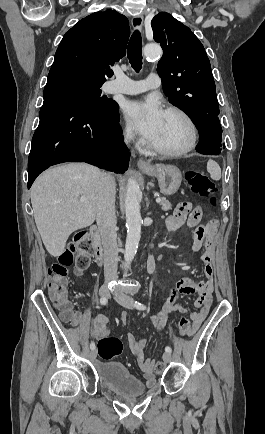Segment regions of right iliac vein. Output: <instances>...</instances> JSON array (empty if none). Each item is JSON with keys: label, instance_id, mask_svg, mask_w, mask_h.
<instances>
[{"label": "right iliac vein", "instance_id": "1", "mask_svg": "<svg viewBox=\"0 0 265 434\" xmlns=\"http://www.w3.org/2000/svg\"><path fill=\"white\" fill-rule=\"evenodd\" d=\"M99 295L108 299L110 296V291L106 286L101 287L99 290ZM96 356H97V350L96 349L89 351V358L90 359L93 360L96 358Z\"/></svg>", "mask_w": 265, "mask_h": 434}]
</instances>
